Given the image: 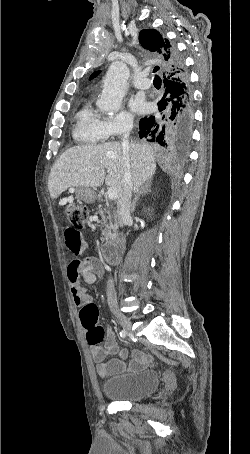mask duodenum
<instances>
[{"mask_svg":"<svg viewBox=\"0 0 250 454\" xmlns=\"http://www.w3.org/2000/svg\"><path fill=\"white\" fill-rule=\"evenodd\" d=\"M120 245L115 241L111 240L101 246V255L104 261L111 265H116L119 262L118 252Z\"/></svg>","mask_w":250,"mask_h":454,"instance_id":"obj_1","label":"duodenum"}]
</instances>
